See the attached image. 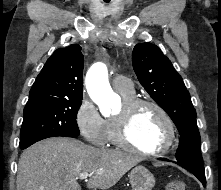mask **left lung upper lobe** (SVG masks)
I'll return each instance as SVG.
<instances>
[{
    "label": "left lung upper lobe",
    "mask_w": 221,
    "mask_h": 190,
    "mask_svg": "<svg viewBox=\"0 0 221 190\" xmlns=\"http://www.w3.org/2000/svg\"><path fill=\"white\" fill-rule=\"evenodd\" d=\"M132 63L140 84L169 114L178 128V164L205 174L196 111L181 76L159 47L151 43H138L134 47Z\"/></svg>",
    "instance_id": "left-lung-upper-lobe-1"
}]
</instances>
